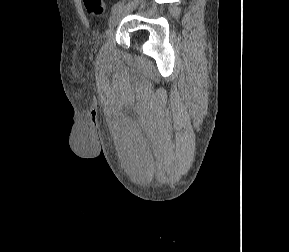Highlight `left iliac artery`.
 I'll return each instance as SVG.
<instances>
[{"label":"left iliac artery","mask_w":289,"mask_h":252,"mask_svg":"<svg viewBox=\"0 0 289 252\" xmlns=\"http://www.w3.org/2000/svg\"><path fill=\"white\" fill-rule=\"evenodd\" d=\"M124 5H125V0L119 1L116 4L113 5L111 10H112V12H114V11L118 10L119 8H121Z\"/></svg>","instance_id":"44dca946"}]
</instances>
